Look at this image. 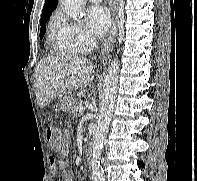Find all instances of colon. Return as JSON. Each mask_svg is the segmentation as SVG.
<instances>
[{
	"instance_id": "obj_1",
	"label": "colon",
	"mask_w": 197,
	"mask_h": 181,
	"mask_svg": "<svg viewBox=\"0 0 197 181\" xmlns=\"http://www.w3.org/2000/svg\"><path fill=\"white\" fill-rule=\"evenodd\" d=\"M46 134L50 147L53 150L58 151L62 147V137L60 130L55 126H50L47 128Z\"/></svg>"
}]
</instances>
